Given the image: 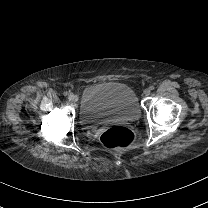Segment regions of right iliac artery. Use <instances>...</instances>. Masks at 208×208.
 <instances>
[{
    "mask_svg": "<svg viewBox=\"0 0 208 208\" xmlns=\"http://www.w3.org/2000/svg\"><path fill=\"white\" fill-rule=\"evenodd\" d=\"M63 95H64V96H68V92H64Z\"/></svg>",
    "mask_w": 208,
    "mask_h": 208,
    "instance_id": "1",
    "label": "right iliac artery"
}]
</instances>
